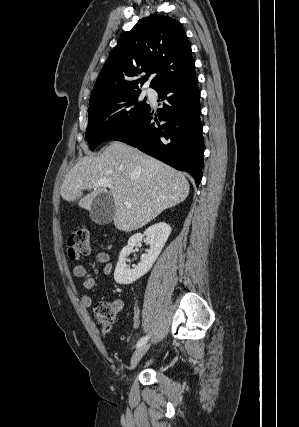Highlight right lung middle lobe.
<instances>
[{
    "label": "right lung middle lobe",
    "mask_w": 299,
    "mask_h": 427,
    "mask_svg": "<svg viewBox=\"0 0 299 427\" xmlns=\"http://www.w3.org/2000/svg\"><path fill=\"white\" fill-rule=\"evenodd\" d=\"M140 93H123L89 104L85 139L91 150L124 133L145 115L150 106L141 100Z\"/></svg>",
    "instance_id": "right-lung-middle-lobe-1"
}]
</instances>
